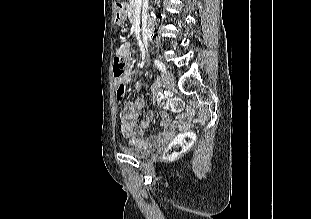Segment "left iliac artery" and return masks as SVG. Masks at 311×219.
I'll list each match as a JSON object with an SVG mask.
<instances>
[{"label": "left iliac artery", "instance_id": "1", "mask_svg": "<svg viewBox=\"0 0 311 219\" xmlns=\"http://www.w3.org/2000/svg\"><path fill=\"white\" fill-rule=\"evenodd\" d=\"M154 64H155V66H156L159 70H161V71H165V70H166L165 65H164L161 61L155 59V60H154Z\"/></svg>", "mask_w": 311, "mask_h": 219}]
</instances>
